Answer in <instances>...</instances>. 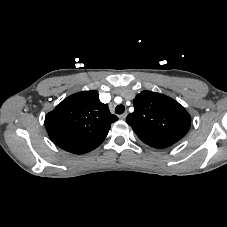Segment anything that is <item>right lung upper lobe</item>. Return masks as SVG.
Returning a JSON list of instances; mask_svg holds the SVG:
<instances>
[{"instance_id": "right-lung-upper-lobe-1", "label": "right lung upper lobe", "mask_w": 227, "mask_h": 227, "mask_svg": "<svg viewBox=\"0 0 227 227\" xmlns=\"http://www.w3.org/2000/svg\"><path fill=\"white\" fill-rule=\"evenodd\" d=\"M118 117L99 100L96 90L75 93L49 112L45 127L50 139L61 149L83 154L97 148Z\"/></svg>"}]
</instances>
